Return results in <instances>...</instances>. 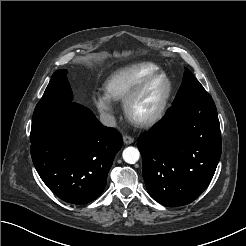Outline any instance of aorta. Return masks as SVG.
<instances>
[{
    "label": "aorta",
    "mask_w": 246,
    "mask_h": 246,
    "mask_svg": "<svg viewBox=\"0 0 246 246\" xmlns=\"http://www.w3.org/2000/svg\"><path fill=\"white\" fill-rule=\"evenodd\" d=\"M122 156L126 163L135 164L139 160L140 152L137 148L130 146L123 150Z\"/></svg>",
    "instance_id": "762f6f07"
}]
</instances>
